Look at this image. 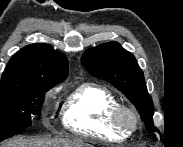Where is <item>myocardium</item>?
I'll return each instance as SVG.
<instances>
[{
    "instance_id": "obj_1",
    "label": "myocardium",
    "mask_w": 183,
    "mask_h": 147,
    "mask_svg": "<svg viewBox=\"0 0 183 147\" xmlns=\"http://www.w3.org/2000/svg\"><path fill=\"white\" fill-rule=\"evenodd\" d=\"M109 121L114 128L128 134L137 131L141 125L137 111L128 105L120 103L111 109Z\"/></svg>"
}]
</instances>
